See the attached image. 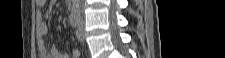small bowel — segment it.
Returning <instances> with one entry per match:
<instances>
[{
    "instance_id": "obj_1",
    "label": "small bowel",
    "mask_w": 225,
    "mask_h": 58,
    "mask_svg": "<svg viewBox=\"0 0 225 58\" xmlns=\"http://www.w3.org/2000/svg\"><path fill=\"white\" fill-rule=\"evenodd\" d=\"M36 4L42 7L46 4V0H36ZM48 32L47 23L44 21L41 15L37 16V33L39 36L38 50L42 58H79L80 52L76 48L70 49V55L61 53L56 47H52L48 51L45 47L42 37Z\"/></svg>"
}]
</instances>
